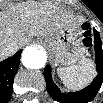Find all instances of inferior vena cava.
<instances>
[{
    "mask_svg": "<svg viewBox=\"0 0 103 103\" xmlns=\"http://www.w3.org/2000/svg\"><path fill=\"white\" fill-rule=\"evenodd\" d=\"M13 46H14L13 43H9V44H6V45H5L4 49L7 50V49H9V48H11V47H13ZM1 48H2V46H1Z\"/></svg>",
    "mask_w": 103,
    "mask_h": 103,
    "instance_id": "obj_1",
    "label": "inferior vena cava"
}]
</instances>
